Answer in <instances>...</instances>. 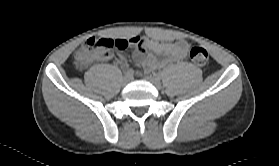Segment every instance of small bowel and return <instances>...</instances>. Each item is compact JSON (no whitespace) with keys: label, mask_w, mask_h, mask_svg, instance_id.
Wrapping results in <instances>:
<instances>
[{"label":"small bowel","mask_w":279,"mask_h":166,"mask_svg":"<svg viewBox=\"0 0 279 166\" xmlns=\"http://www.w3.org/2000/svg\"><path fill=\"white\" fill-rule=\"evenodd\" d=\"M129 41L130 44L136 47L133 54L134 59L142 64L145 72L163 67L172 61L184 59L189 48V43L185 40L160 42L136 36L132 37ZM158 56H162V58Z\"/></svg>","instance_id":"1"}]
</instances>
